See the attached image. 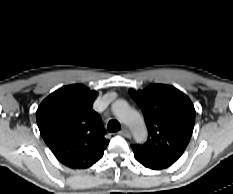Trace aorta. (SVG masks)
<instances>
[{
  "label": "aorta",
  "instance_id": "1",
  "mask_svg": "<svg viewBox=\"0 0 233 194\" xmlns=\"http://www.w3.org/2000/svg\"><path fill=\"white\" fill-rule=\"evenodd\" d=\"M112 109L114 113L129 126L137 141H144L147 137V130L141 115L129 107L126 101H116Z\"/></svg>",
  "mask_w": 233,
  "mask_h": 194
}]
</instances>
